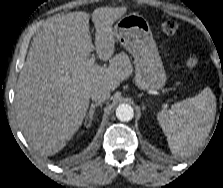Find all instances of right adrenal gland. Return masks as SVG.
I'll return each instance as SVG.
<instances>
[{
	"label": "right adrenal gland",
	"instance_id": "1",
	"mask_svg": "<svg viewBox=\"0 0 223 188\" xmlns=\"http://www.w3.org/2000/svg\"><path fill=\"white\" fill-rule=\"evenodd\" d=\"M98 106H101V103L91 104L90 110L86 115V118L88 119V124L86 125V127H89L91 125L95 113L94 109Z\"/></svg>",
	"mask_w": 223,
	"mask_h": 188
}]
</instances>
